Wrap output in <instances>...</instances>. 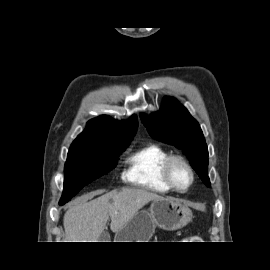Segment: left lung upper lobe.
I'll return each mask as SVG.
<instances>
[{
  "label": "left lung upper lobe",
  "instance_id": "1",
  "mask_svg": "<svg viewBox=\"0 0 270 270\" xmlns=\"http://www.w3.org/2000/svg\"><path fill=\"white\" fill-rule=\"evenodd\" d=\"M141 119L153 138L181 149L203 183L210 186L207 145L200 125L187 109L166 98L159 112L149 118L141 114Z\"/></svg>",
  "mask_w": 270,
  "mask_h": 270
}]
</instances>
